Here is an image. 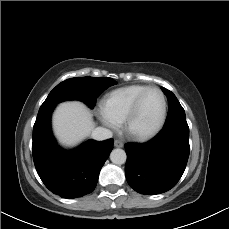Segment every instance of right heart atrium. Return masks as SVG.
<instances>
[{
  "label": "right heart atrium",
  "instance_id": "obj_1",
  "mask_svg": "<svg viewBox=\"0 0 229 229\" xmlns=\"http://www.w3.org/2000/svg\"><path fill=\"white\" fill-rule=\"evenodd\" d=\"M100 115H101L103 123L107 127L111 128V129H117L118 128L119 123L116 122L115 120H113L109 115H107L102 107L100 109Z\"/></svg>",
  "mask_w": 229,
  "mask_h": 229
}]
</instances>
